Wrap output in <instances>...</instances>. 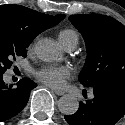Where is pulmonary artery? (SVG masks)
I'll return each instance as SVG.
<instances>
[{
  "mask_svg": "<svg viewBox=\"0 0 125 125\" xmlns=\"http://www.w3.org/2000/svg\"><path fill=\"white\" fill-rule=\"evenodd\" d=\"M78 42L74 41V42H71L69 44H67L64 48L66 51H72L75 49L76 45H77Z\"/></svg>",
  "mask_w": 125,
  "mask_h": 125,
  "instance_id": "obj_1",
  "label": "pulmonary artery"
}]
</instances>
